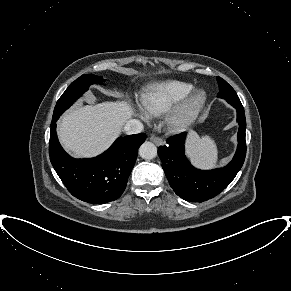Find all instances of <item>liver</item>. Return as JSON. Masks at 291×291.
Segmentation results:
<instances>
[{
  "label": "liver",
  "instance_id": "obj_1",
  "mask_svg": "<svg viewBox=\"0 0 291 291\" xmlns=\"http://www.w3.org/2000/svg\"><path fill=\"white\" fill-rule=\"evenodd\" d=\"M134 114L125 101L78 107L66 113L58 136L63 147L76 157H92L106 150Z\"/></svg>",
  "mask_w": 291,
  "mask_h": 291
}]
</instances>
